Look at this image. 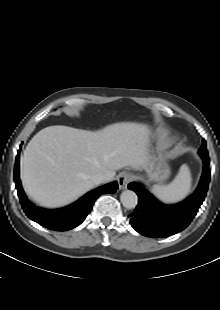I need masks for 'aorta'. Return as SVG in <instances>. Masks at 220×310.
I'll return each instance as SVG.
<instances>
[{
    "mask_svg": "<svg viewBox=\"0 0 220 310\" xmlns=\"http://www.w3.org/2000/svg\"><path fill=\"white\" fill-rule=\"evenodd\" d=\"M120 200L125 208L133 209L137 205L138 197L132 190H125L122 192Z\"/></svg>",
    "mask_w": 220,
    "mask_h": 310,
    "instance_id": "762f6f07",
    "label": "aorta"
}]
</instances>
